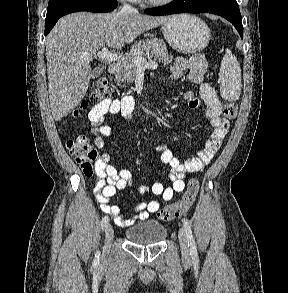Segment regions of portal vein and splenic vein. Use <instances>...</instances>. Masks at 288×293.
<instances>
[{
    "instance_id": "portal-vein-and-splenic-vein-1",
    "label": "portal vein and splenic vein",
    "mask_w": 288,
    "mask_h": 293,
    "mask_svg": "<svg viewBox=\"0 0 288 293\" xmlns=\"http://www.w3.org/2000/svg\"><path fill=\"white\" fill-rule=\"evenodd\" d=\"M88 54L87 53H83L82 57H87ZM97 56L105 61H117L119 60L121 57L116 54V53H111L108 51V49L106 47H103L101 49V51L97 52ZM135 64L137 66L138 69H154L157 68V63L155 61H149L147 62L145 58L137 56L134 58Z\"/></svg>"
}]
</instances>
